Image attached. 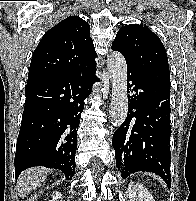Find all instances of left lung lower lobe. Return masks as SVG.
<instances>
[{
	"mask_svg": "<svg viewBox=\"0 0 196 201\" xmlns=\"http://www.w3.org/2000/svg\"><path fill=\"white\" fill-rule=\"evenodd\" d=\"M129 109L115 131L112 145L122 178L138 171L161 176L168 188L170 176V87L127 69Z\"/></svg>",
	"mask_w": 196,
	"mask_h": 201,
	"instance_id": "1",
	"label": "left lung lower lobe"
}]
</instances>
